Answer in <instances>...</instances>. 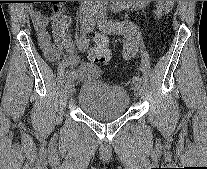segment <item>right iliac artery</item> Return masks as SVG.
<instances>
[{"label":"right iliac artery","mask_w":207,"mask_h":169,"mask_svg":"<svg viewBox=\"0 0 207 169\" xmlns=\"http://www.w3.org/2000/svg\"><path fill=\"white\" fill-rule=\"evenodd\" d=\"M96 12V10H95ZM91 26L88 29H85V32H83V34L79 37V39L77 40L79 48L81 50H85L88 47V38H87V34L89 33V31ZM75 79V74L73 72H69L67 73V80H74Z\"/></svg>","instance_id":"obj_1"}]
</instances>
